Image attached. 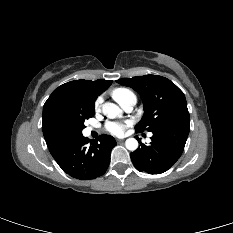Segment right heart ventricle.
Listing matches in <instances>:
<instances>
[{
    "instance_id": "obj_1",
    "label": "right heart ventricle",
    "mask_w": 233,
    "mask_h": 233,
    "mask_svg": "<svg viewBox=\"0 0 233 233\" xmlns=\"http://www.w3.org/2000/svg\"><path fill=\"white\" fill-rule=\"evenodd\" d=\"M113 98L121 105L129 99H135L136 95L128 88L120 87L112 91Z\"/></svg>"
}]
</instances>
